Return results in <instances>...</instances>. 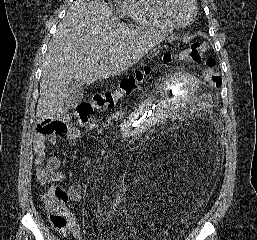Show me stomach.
<instances>
[{
	"instance_id": "1",
	"label": "stomach",
	"mask_w": 257,
	"mask_h": 240,
	"mask_svg": "<svg viewBox=\"0 0 257 240\" xmlns=\"http://www.w3.org/2000/svg\"><path fill=\"white\" fill-rule=\"evenodd\" d=\"M159 52V50L156 48L154 51L151 53L152 56L156 55Z\"/></svg>"
}]
</instances>
